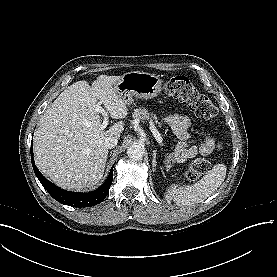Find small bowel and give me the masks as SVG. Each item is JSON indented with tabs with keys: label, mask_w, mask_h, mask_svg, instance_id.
I'll use <instances>...</instances> for the list:
<instances>
[{
	"label": "small bowel",
	"mask_w": 277,
	"mask_h": 277,
	"mask_svg": "<svg viewBox=\"0 0 277 277\" xmlns=\"http://www.w3.org/2000/svg\"><path fill=\"white\" fill-rule=\"evenodd\" d=\"M163 122L171 127L178 139L177 150L172 157L174 160L186 161L198 155L207 156L215 151L217 143L211 135L206 136L199 145L190 146L188 144V130L191 122L187 117L168 114L163 118Z\"/></svg>",
	"instance_id": "obj_1"
}]
</instances>
